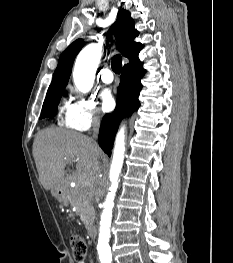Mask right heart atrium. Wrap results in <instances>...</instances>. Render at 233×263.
<instances>
[{"mask_svg": "<svg viewBox=\"0 0 233 263\" xmlns=\"http://www.w3.org/2000/svg\"><path fill=\"white\" fill-rule=\"evenodd\" d=\"M100 122L94 98L78 97L70 105L65 124L74 130L87 131Z\"/></svg>", "mask_w": 233, "mask_h": 263, "instance_id": "right-heart-atrium-1", "label": "right heart atrium"}]
</instances>
